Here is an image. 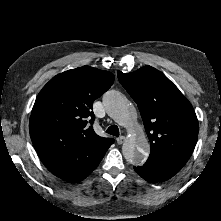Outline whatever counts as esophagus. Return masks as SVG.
Wrapping results in <instances>:
<instances>
[{
	"label": "esophagus",
	"instance_id": "34e87169",
	"mask_svg": "<svg viewBox=\"0 0 221 221\" xmlns=\"http://www.w3.org/2000/svg\"><path fill=\"white\" fill-rule=\"evenodd\" d=\"M125 141V137L124 136H120L117 138V143L118 144H122Z\"/></svg>",
	"mask_w": 221,
	"mask_h": 221
}]
</instances>
